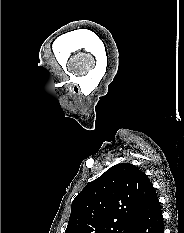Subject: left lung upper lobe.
Instances as JSON below:
<instances>
[{"label":"left lung upper lobe","instance_id":"obj_1","mask_svg":"<svg viewBox=\"0 0 184 233\" xmlns=\"http://www.w3.org/2000/svg\"><path fill=\"white\" fill-rule=\"evenodd\" d=\"M154 191L135 165H114L73 200L65 233H131Z\"/></svg>","mask_w":184,"mask_h":233}]
</instances>
